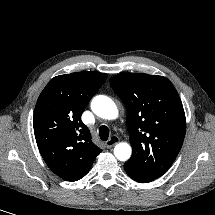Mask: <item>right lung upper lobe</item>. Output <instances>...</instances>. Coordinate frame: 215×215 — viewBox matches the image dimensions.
<instances>
[{"instance_id":"right-lung-upper-lobe-1","label":"right lung upper lobe","mask_w":215,"mask_h":215,"mask_svg":"<svg viewBox=\"0 0 215 215\" xmlns=\"http://www.w3.org/2000/svg\"><path fill=\"white\" fill-rule=\"evenodd\" d=\"M106 77L96 71L56 76L37 100L33 125L38 149L48 167L66 181L84 177L101 152L81 115Z\"/></svg>"}]
</instances>
